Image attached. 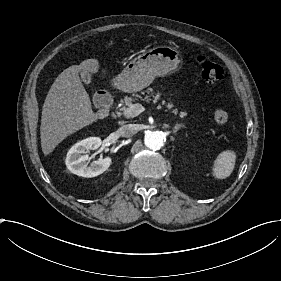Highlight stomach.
Instances as JSON below:
<instances>
[{"label":"stomach","instance_id":"0dacf381","mask_svg":"<svg viewBox=\"0 0 281 281\" xmlns=\"http://www.w3.org/2000/svg\"><path fill=\"white\" fill-rule=\"evenodd\" d=\"M179 52L169 46L154 47L131 60L116 77L114 86L133 93L148 87L155 77H164L179 69Z\"/></svg>","mask_w":281,"mask_h":281}]
</instances>
